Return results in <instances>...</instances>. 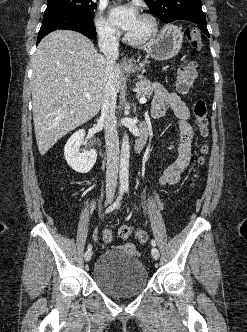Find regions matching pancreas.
Returning <instances> with one entry per match:
<instances>
[{
	"label": "pancreas",
	"mask_w": 247,
	"mask_h": 332,
	"mask_svg": "<svg viewBox=\"0 0 247 332\" xmlns=\"http://www.w3.org/2000/svg\"><path fill=\"white\" fill-rule=\"evenodd\" d=\"M137 97H147L150 98L153 94V88L149 80H142L136 83Z\"/></svg>",
	"instance_id": "cf45deb5"
}]
</instances>
